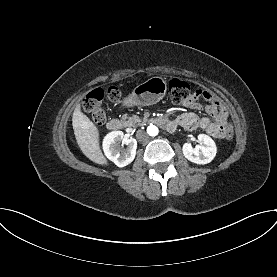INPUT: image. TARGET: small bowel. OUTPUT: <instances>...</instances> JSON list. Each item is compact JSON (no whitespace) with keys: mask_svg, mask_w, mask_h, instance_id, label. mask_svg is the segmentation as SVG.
Listing matches in <instances>:
<instances>
[{"mask_svg":"<svg viewBox=\"0 0 277 277\" xmlns=\"http://www.w3.org/2000/svg\"><path fill=\"white\" fill-rule=\"evenodd\" d=\"M202 97L207 101L205 106H202L197 99ZM185 106L192 110L204 109L212 119L208 117H199L193 112H186L179 115L173 122L176 127L181 126L187 130L197 128L203 129L212 137L222 139L226 135V126L228 125V111L211 91L205 89L197 90V97L185 103Z\"/></svg>","mask_w":277,"mask_h":277,"instance_id":"1","label":"small bowel"}]
</instances>
